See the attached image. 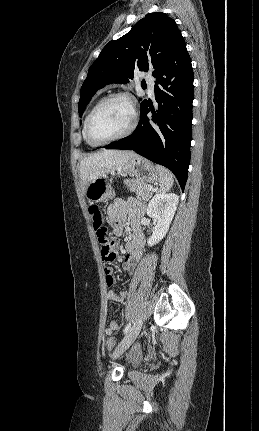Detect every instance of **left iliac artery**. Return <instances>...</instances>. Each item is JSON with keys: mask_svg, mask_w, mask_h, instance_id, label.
Instances as JSON below:
<instances>
[{"mask_svg": "<svg viewBox=\"0 0 259 431\" xmlns=\"http://www.w3.org/2000/svg\"><path fill=\"white\" fill-rule=\"evenodd\" d=\"M130 327H131V323H128L123 330L124 334H126L129 331Z\"/></svg>", "mask_w": 259, "mask_h": 431, "instance_id": "1", "label": "left iliac artery"}]
</instances>
